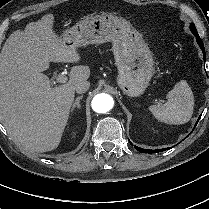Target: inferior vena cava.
<instances>
[{"instance_id": "1", "label": "inferior vena cava", "mask_w": 209, "mask_h": 209, "mask_svg": "<svg viewBox=\"0 0 209 209\" xmlns=\"http://www.w3.org/2000/svg\"><path fill=\"white\" fill-rule=\"evenodd\" d=\"M90 87V83L88 81H81L79 82L76 87L75 90L77 93L81 94V93H85Z\"/></svg>"}]
</instances>
